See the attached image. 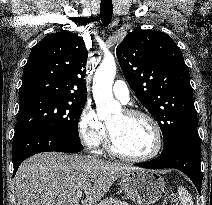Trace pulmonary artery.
Instances as JSON below:
<instances>
[{
	"label": "pulmonary artery",
	"mask_w": 212,
	"mask_h": 205,
	"mask_svg": "<svg viewBox=\"0 0 212 205\" xmlns=\"http://www.w3.org/2000/svg\"><path fill=\"white\" fill-rule=\"evenodd\" d=\"M113 94L121 100L123 103H126L129 100V88L124 81L117 80L113 85Z\"/></svg>",
	"instance_id": "pulmonary-artery-1"
}]
</instances>
